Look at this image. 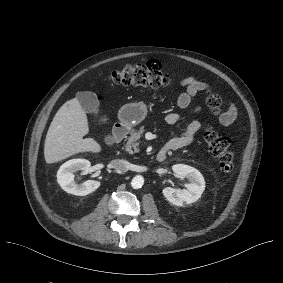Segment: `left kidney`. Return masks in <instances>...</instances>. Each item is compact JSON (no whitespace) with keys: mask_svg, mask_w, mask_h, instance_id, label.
Returning <instances> with one entry per match:
<instances>
[{"mask_svg":"<svg viewBox=\"0 0 283 283\" xmlns=\"http://www.w3.org/2000/svg\"><path fill=\"white\" fill-rule=\"evenodd\" d=\"M176 176L188 179L185 189L166 187L162 190L164 197L173 205L183 206L197 201L205 190V181L202 174L194 167L185 164L172 166Z\"/></svg>","mask_w":283,"mask_h":283,"instance_id":"left-kidney-1","label":"left kidney"}]
</instances>
